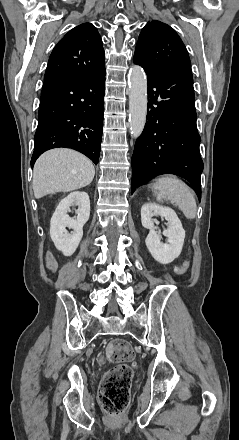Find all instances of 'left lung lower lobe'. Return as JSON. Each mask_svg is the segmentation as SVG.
I'll return each mask as SVG.
<instances>
[{
  "instance_id": "obj_1",
  "label": "left lung lower lobe",
  "mask_w": 239,
  "mask_h": 440,
  "mask_svg": "<svg viewBox=\"0 0 239 440\" xmlns=\"http://www.w3.org/2000/svg\"><path fill=\"white\" fill-rule=\"evenodd\" d=\"M147 122L132 156V187L161 174L188 180L201 199L200 135L196 126L192 73L187 70L147 68Z\"/></svg>"
}]
</instances>
